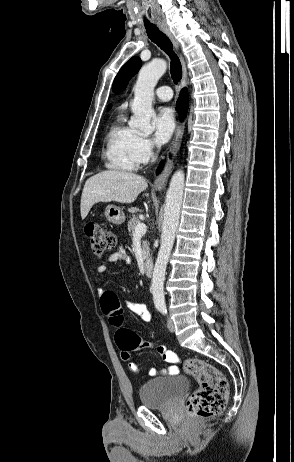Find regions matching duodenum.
Listing matches in <instances>:
<instances>
[{"instance_id":"410a0bca","label":"duodenum","mask_w":294,"mask_h":462,"mask_svg":"<svg viewBox=\"0 0 294 462\" xmlns=\"http://www.w3.org/2000/svg\"><path fill=\"white\" fill-rule=\"evenodd\" d=\"M143 269H144V272L147 274V275H151L153 273V269H154V262L151 258H146L144 260V263H143Z\"/></svg>"}]
</instances>
